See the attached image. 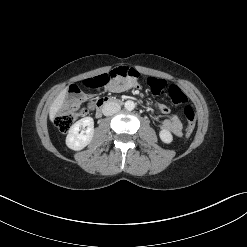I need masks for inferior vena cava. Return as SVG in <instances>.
I'll return each mask as SVG.
<instances>
[{"label": "inferior vena cava", "mask_w": 247, "mask_h": 247, "mask_svg": "<svg viewBox=\"0 0 247 247\" xmlns=\"http://www.w3.org/2000/svg\"><path fill=\"white\" fill-rule=\"evenodd\" d=\"M120 105L116 102H107L102 108V112L105 116H111L120 110Z\"/></svg>", "instance_id": "inferior-vena-cava-1"}]
</instances>
